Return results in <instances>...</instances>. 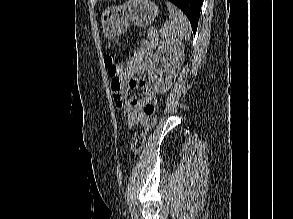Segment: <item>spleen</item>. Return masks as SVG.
Instances as JSON below:
<instances>
[{
  "instance_id": "1",
  "label": "spleen",
  "mask_w": 293,
  "mask_h": 219,
  "mask_svg": "<svg viewBox=\"0 0 293 219\" xmlns=\"http://www.w3.org/2000/svg\"><path fill=\"white\" fill-rule=\"evenodd\" d=\"M170 20L159 31L161 37L172 42L189 40L191 35L190 22L187 17L172 3L166 2Z\"/></svg>"
}]
</instances>
